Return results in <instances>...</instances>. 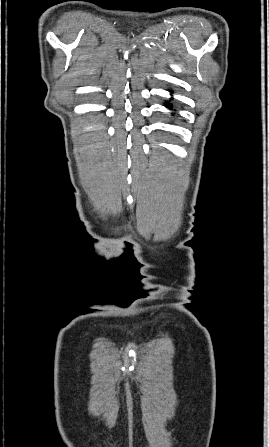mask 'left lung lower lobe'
<instances>
[{"label": "left lung lower lobe", "instance_id": "obj_1", "mask_svg": "<svg viewBox=\"0 0 269 447\" xmlns=\"http://www.w3.org/2000/svg\"><path fill=\"white\" fill-rule=\"evenodd\" d=\"M166 106L169 107V108L173 107L172 104H168V103H166Z\"/></svg>", "mask_w": 269, "mask_h": 447}]
</instances>
